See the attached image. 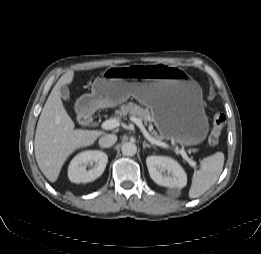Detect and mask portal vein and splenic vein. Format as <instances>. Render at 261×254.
<instances>
[{
    "mask_svg": "<svg viewBox=\"0 0 261 254\" xmlns=\"http://www.w3.org/2000/svg\"><path fill=\"white\" fill-rule=\"evenodd\" d=\"M130 120L132 122H134L136 124V126L140 129V131L142 132L143 136L152 144L154 145H158V146H162V147H166L168 148L169 146L166 144V143H163V142H160L156 139H154L149 133L148 131L146 130L145 126L143 125L142 121L137 118V117H134L132 116L130 118ZM120 125V120L117 119V118H111V119H108L106 121H104L102 124H101V127L104 129V130H112L116 127H118ZM174 150L178 153L181 154V156L189 163L190 166L194 167V168H197V164L195 161H193L191 158H189L186 154V152L183 150V149H179V148H174Z\"/></svg>",
    "mask_w": 261,
    "mask_h": 254,
    "instance_id": "obj_1",
    "label": "portal vein and splenic vein"
}]
</instances>
